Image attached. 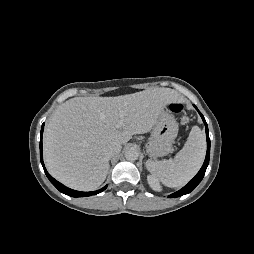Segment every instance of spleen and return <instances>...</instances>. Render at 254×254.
Returning <instances> with one entry per match:
<instances>
[{
	"instance_id": "obj_1",
	"label": "spleen",
	"mask_w": 254,
	"mask_h": 254,
	"mask_svg": "<svg viewBox=\"0 0 254 254\" xmlns=\"http://www.w3.org/2000/svg\"><path fill=\"white\" fill-rule=\"evenodd\" d=\"M205 153V134L198 126H193L184 147L173 160H148L146 167L165 186L177 188L196 175L202 166Z\"/></svg>"
}]
</instances>
